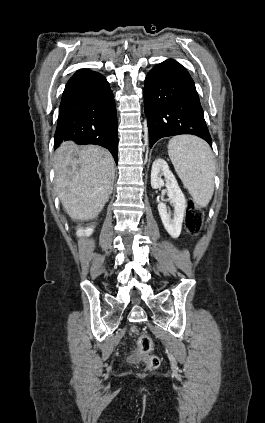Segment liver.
<instances>
[{
	"mask_svg": "<svg viewBox=\"0 0 265 423\" xmlns=\"http://www.w3.org/2000/svg\"><path fill=\"white\" fill-rule=\"evenodd\" d=\"M58 195L73 220H92L113 189L114 160L107 149L63 142L54 156Z\"/></svg>",
	"mask_w": 265,
	"mask_h": 423,
	"instance_id": "obj_1",
	"label": "liver"
}]
</instances>
